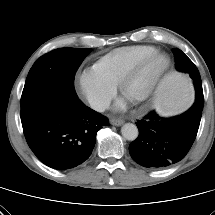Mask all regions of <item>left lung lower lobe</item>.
Wrapping results in <instances>:
<instances>
[{"mask_svg": "<svg viewBox=\"0 0 215 215\" xmlns=\"http://www.w3.org/2000/svg\"><path fill=\"white\" fill-rule=\"evenodd\" d=\"M203 105V92H196L193 106L179 116L162 118L151 111L137 120L139 136L129 145L132 159L151 169L165 168L182 160L196 138Z\"/></svg>", "mask_w": 215, "mask_h": 215, "instance_id": "1", "label": "left lung lower lobe"}]
</instances>
